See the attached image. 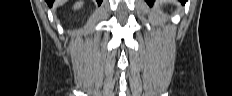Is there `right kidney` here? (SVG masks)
<instances>
[{
	"label": "right kidney",
	"mask_w": 232,
	"mask_h": 96,
	"mask_svg": "<svg viewBox=\"0 0 232 96\" xmlns=\"http://www.w3.org/2000/svg\"><path fill=\"white\" fill-rule=\"evenodd\" d=\"M82 3L79 2L77 4L74 5V9H79L81 7Z\"/></svg>",
	"instance_id": "ca27d5eb"
}]
</instances>
